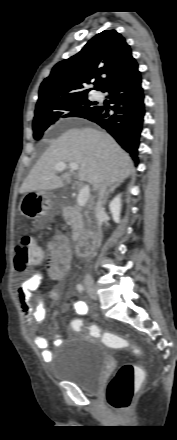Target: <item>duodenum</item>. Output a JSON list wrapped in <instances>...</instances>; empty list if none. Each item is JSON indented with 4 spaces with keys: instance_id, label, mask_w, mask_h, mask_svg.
<instances>
[{
    "instance_id": "1",
    "label": "duodenum",
    "mask_w": 177,
    "mask_h": 440,
    "mask_svg": "<svg viewBox=\"0 0 177 440\" xmlns=\"http://www.w3.org/2000/svg\"><path fill=\"white\" fill-rule=\"evenodd\" d=\"M100 239V232L97 230L91 231L86 237L79 239L75 245L76 254L80 257H85L91 254L96 242Z\"/></svg>"
}]
</instances>
